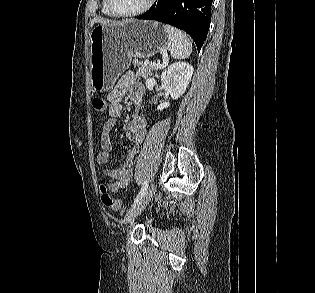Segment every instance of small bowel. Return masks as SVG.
Listing matches in <instances>:
<instances>
[{
	"instance_id": "small-bowel-1",
	"label": "small bowel",
	"mask_w": 315,
	"mask_h": 293,
	"mask_svg": "<svg viewBox=\"0 0 315 293\" xmlns=\"http://www.w3.org/2000/svg\"><path fill=\"white\" fill-rule=\"evenodd\" d=\"M144 87L136 80L132 72L125 73L109 93V117L103 121L101 135V150L96 156V162L100 165L106 164L113 149L111 132L120 116L122 102L129 96L134 113L130 121L124 125L125 134L131 143V148L125 155L124 163L116 169L106 168L103 173L110 178L108 189L111 192H118L126 187L132 177L134 159L139 151L147 133V119L140 112Z\"/></svg>"
}]
</instances>
